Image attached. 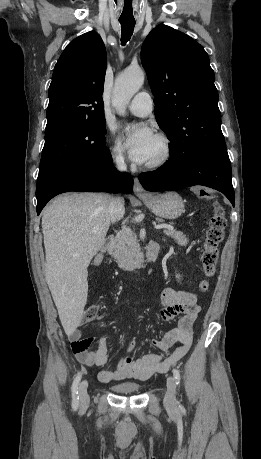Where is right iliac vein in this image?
<instances>
[{"label":"right iliac vein","mask_w":261,"mask_h":459,"mask_svg":"<svg viewBox=\"0 0 261 459\" xmlns=\"http://www.w3.org/2000/svg\"><path fill=\"white\" fill-rule=\"evenodd\" d=\"M88 382L86 380L82 381L79 387V402L82 409L87 408L89 405V395L87 392Z\"/></svg>","instance_id":"right-iliac-vein-1"}]
</instances>
